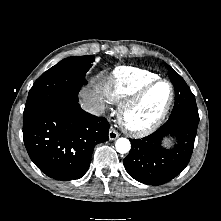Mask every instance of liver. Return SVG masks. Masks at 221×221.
<instances>
[{
	"instance_id": "liver-1",
	"label": "liver",
	"mask_w": 221,
	"mask_h": 221,
	"mask_svg": "<svg viewBox=\"0 0 221 221\" xmlns=\"http://www.w3.org/2000/svg\"><path fill=\"white\" fill-rule=\"evenodd\" d=\"M99 92V86L96 85L94 86V90H89L87 92H82L81 93V100H80V104L81 106L85 109L89 106L92 105H99V99L97 96V93Z\"/></svg>"
}]
</instances>
